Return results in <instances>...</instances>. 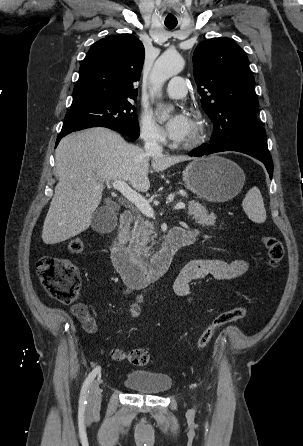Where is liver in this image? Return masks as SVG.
I'll return each mask as SVG.
<instances>
[{"mask_svg":"<svg viewBox=\"0 0 303 446\" xmlns=\"http://www.w3.org/2000/svg\"><path fill=\"white\" fill-rule=\"evenodd\" d=\"M191 159L148 155L103 127L67 135L55 151L59 182L44 221L43 242L57 244L85 231L101 202L104 183L129 182L137 191L146 192L150 188V160L151 167L161 172Z\"/></svg>","mask_w":303,"mask_h":446,"instance_id":"obj_1","label":"liver"}]
</instances>
